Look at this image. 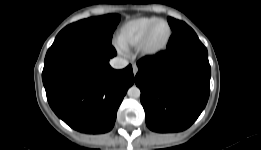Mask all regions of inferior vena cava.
<instances>
[{
    "mask_svg": "<svg viewBox=\"0 0 261 150\" xmlns=\"http://www.w3.org/2000/svg\"><path fill=\"white\" fill-rule=\"evenodd\" d=\"M110 65L114 69H123L128 65V61L121 57H115L110 60Z\"/></svg>",
    "mask_w": 261,
    "mask_h": 150,
    "instance_id": "602c4592",
    "label": "inferior vena cava"
}]
</instances>
